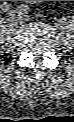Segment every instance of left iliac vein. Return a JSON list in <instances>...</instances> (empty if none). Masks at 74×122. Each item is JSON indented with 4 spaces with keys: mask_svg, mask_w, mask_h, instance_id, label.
Returning <instances> with one entry per match:
<instances>
[{
    "mask_svg": "<svg viewBox=\"0 0 74 122\" xmlns=\"http://www.w3.org/2000/svg\"><path fill=\"white\" fill-rule=\"evenodd\" d=\"M19 14L22 16V18H23L24 20H27V21L30 20V17L27 16V15H25L22 11H20Z\"/></svg>",
    "mask_w": 74,
    "mask_h": 122,
    "instance_id": "obj_1",
    "label": "left iliac vein"
}]
</instances>
